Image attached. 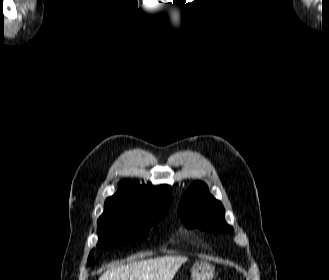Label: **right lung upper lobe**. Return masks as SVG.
<instances>
[{
	"label": "right lung upper lobe",
	"mask_w": 329,
	"mask_h": 280,
	"mask_svg": "<svg viewBox=\"0 0 329 280\" xmlns=\"http://www.w3.org/2000/svg\"><path fill=\"white\" fill-rule=\"evenodd\" d=\"M171 191V187L168 185L155 188L123 181L119 185L118 192L107 198L105 204H122L149 211L158 205H171Z\"/></svg>",
	"instance_id": "obj_1"
}]
</instances>
